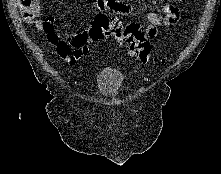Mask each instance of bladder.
<instances>
[{"mask_svg": "<svg viewBox=\"0 0 221 174\" xmlns=\"http://www.w3.org/2000/svg\"><path fill=\"white\" fill-rule=\"evenodd\" d=\"M125 81L124 74L116 68L106 67L97 75L98 92L105 96H115L122 88Z\"/></svg>", "mask_w": 221, "mask_h": 174, "instance_id": "31cf9c89", "label": "bladder"}]
</instances>
